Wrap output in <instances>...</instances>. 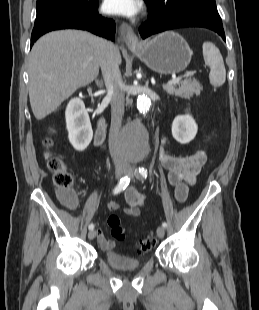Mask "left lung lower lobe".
<instances>
[{"mask_svg": "<svg viewBox=\"0 0 259 310\" xmlns=\"http://www.w3.org/2000/svg\"><path fill=\"white\" fill-rule=\"evenodd\" d=\"M181 27H204L218 33L225 40L221 17L216 8L192 7L164 18L154 19L149 16L139 32L143 39L165 30Z\"/></svg>", "mask_w": 259, "mask_h": 310, "instance_id": "0a47b994", "label": "left lung lower lobe"}]
</instances>
